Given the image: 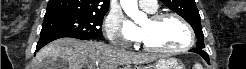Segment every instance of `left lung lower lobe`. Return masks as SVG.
<instances>
[{
    "label": "left lung lower lobe",
    "mask_w": 246,
    "mask_h": 69,
    "mask_svg": "<svg viewBox=\"0 0 246 69\" xmlns=\"http://www.w3.org/2000/svg\"><path fill=\"white\" fill-rule=\"evenodd\" d=\"M190 52H195V53L201 55L207 61V63L210 64L208 54L205 51H203L202 49L194 48V49H191Z\"/></svg>",
    "instance_id": "obj_1"
}]
</instances>
